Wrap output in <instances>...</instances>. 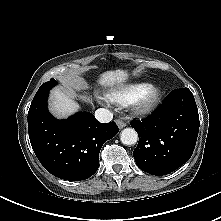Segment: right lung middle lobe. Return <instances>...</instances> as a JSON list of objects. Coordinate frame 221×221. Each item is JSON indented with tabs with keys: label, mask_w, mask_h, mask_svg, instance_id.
I'll list each match as a JSON object with an SVG mask.
<instances>
[{
	"label": "right lung middle lobe",
	"mask_w": 221,
	"mask_h": 221,
	"mask_svg": "<svg viewBox=\"0 0 221 221\" xmlns=\"http://www.w3.org/2000/svg\"><path fill=\"white\" fill-rule=\"evenodd\" d=\"M57 84V81L54 78H51L50 81L41 85L36 94H40L42 92L49 91L53 86Z\"/></svg>",
	"instance_id": "right-lung-middle-lobe-1"
}]
</instances>
